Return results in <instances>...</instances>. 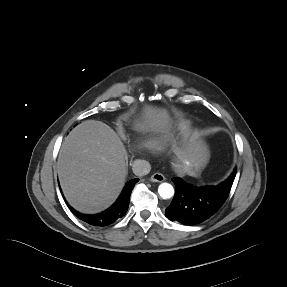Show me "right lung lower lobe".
Segmentation results:
<instances>
[{
    "mask_svg": "<svg viewBox=\"0 0 287 287\" xmlns=\"http://www.w3.org/2000/svg\"><path fill=\"white\" fill-rule=\"evenodd\" d=\"M138 178L132 179L128 181L119 196V198L116 200V202L109 207L107 210L94 215H87L82 214L72 207H69L71 212L80 220L84 221L85 223L92 225V226H100L104 227L107 225H110L114 222H116L118 219L123 217L129 207V201H130V195L132 192V189L134 188L135 184L138 182Z\"/></svg>",
    "mask_w": 287,
    "mask_h": 287,
    "instance_id": "right-lung-lower-lobe-1",
    "label": "right lung lower lobe"
}]
</instances>
